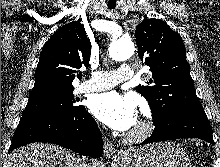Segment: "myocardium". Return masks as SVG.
Segmentation results:
<instances>
[{
  "label": "myocardium",
  "instance_id": "1",
  "mask_svg": "<svg viewBox=\"0 0 220 167\" xmlns=\"http://www.w3.org/2000/svg\"><path fill=\"white\" fill-rule=\"evenodd\" d=\"M155 122L151 113L143 114L137 120L135 127L127 134L129 142H141L146 140L154 132Z\"/></svg>",
  "mask_w": 220,
  "mask_h": 167
}]
</instances>
